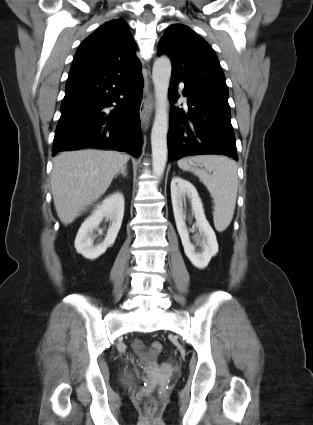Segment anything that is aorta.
Masks as SVG:
<instances>
[{
  "label": "aorta",
  "instance_id": "aorta-1",
  "mask_svg": "<svg viewBox=\"0 0 313 425\" xmlns=\"http://www.w3.org/2000/svg\"><path fill=\"white\" fill-rule=\"evenodd\" d=\"M171 61L166 56L158 57L152 70V80L155 90L156 113L151 131V147L153 159V173L162 177L168 155V89L171 77Z\"/></svg>",
  "mask_w": 313,
  "mask_h": 425
}]
</instances>
